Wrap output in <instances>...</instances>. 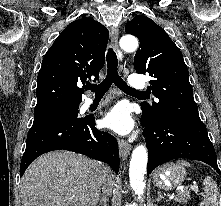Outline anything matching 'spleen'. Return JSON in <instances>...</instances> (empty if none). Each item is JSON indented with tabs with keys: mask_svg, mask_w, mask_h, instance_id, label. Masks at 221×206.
<instances>
[{
	"mask_svg": "<svg viewBox=\"0 0 221 206\" xmlns=\"http://www.w3.org/2000/svg\"><path fill=\"white\" fill-rule=\"evenodd\" d=\"M178 164L184 166H190V163L187 161L181 160L178 161ZM205 198L200 203V206H221V198L219 201V189L217 183L209 176L205 177L203 181Z\"/></svg>",
	"mask_w": 221,
	"mask_h": 206,
	"instance_id": "obj_1",
	"label": "spleen"
}]
</instances>
